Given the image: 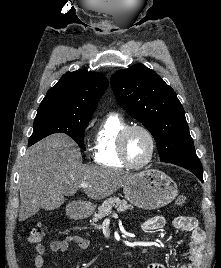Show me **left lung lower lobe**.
Here are the masks:
<instances>
[{"mask_svg":"<svg viewBox=\"0 0 221 268\" xmlns=\"http://www.w3.org/2000/svg\"><path fill=\"white\" fill-rule=\"evenodd\" d=\"M169 163L184 167L193 172L203 182L202 165L196 154L178 158Z\"/></svg>","mask_w":221,"mask_h":268,"instance_id":"left-lung-lower-lobe-1","label":"left lung lower lobe"}]
</instances>
